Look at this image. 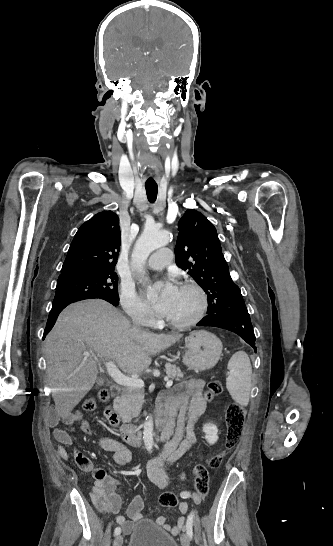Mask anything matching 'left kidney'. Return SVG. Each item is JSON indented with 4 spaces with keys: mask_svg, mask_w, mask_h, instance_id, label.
<instances>
[{
    "mask_svg": "<svg viewBox=\"0 0 333 546\" xmlns=\"http://www.w3.org/2000/svg\"><path fill=\"white\" fill-rule=\"evenodd\" d=\"M203 432L206 434L205 438L210 445H213L218 440V428L213 423H206L203 426Z\"/></svg>",
    "mask_w": 333,
    "mask_h": 546,
    "instance_id": "left-kidney-1",
    "label": "left kidney"
}]
</instances>
